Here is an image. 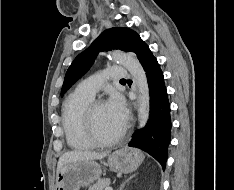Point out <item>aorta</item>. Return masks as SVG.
Masks as SVG:
<instances>
[{
	"instance_id": "obj_1",
	"label": "aorta",
	"mask_w": 234,
	"mask_h": 190,
	"mask_svg": "<svg viewBox=\"0 0 234 190\" xmlns=\"http://www.w3.org/2000/svg\"><path fill=\"white\" fill-rule=\"evenodd\" d=\"M112 57L129 71L137 86L138 123L139 128H142L147 123L150 110L149 87L145 71L133 54L114 51Z\"/></svg>"
}]
</instances>
